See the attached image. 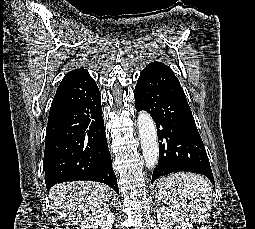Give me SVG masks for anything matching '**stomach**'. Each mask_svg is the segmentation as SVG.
<instances>
[{
    "instance_id": "obj_1",
    "label": "stomach",
    "mask_w": 255,
    "mask_h": 229,
    "mask_svg": "<svg viewBox=\"0 0 255 229\" xmlns=\"http://www.w3.org/2000/svg\"><path fill=\"white\" fill-rule=\"evenodd\" d=\"M159 185H160V182H159ZM162 185L165 188H174V187H176L177 184L175 182H165V181H163Z\"/></svg>"
}]
</instances>
